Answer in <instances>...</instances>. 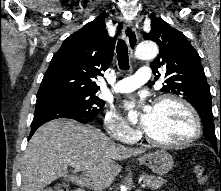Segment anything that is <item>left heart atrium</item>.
I'll list each match as a JSON object with an SVG mask.
<instances>
[{
    "label": "left heart atrium",
    "mask_w": 221,
    "mask_h": 191,
    "mask_svg": "<svg viewBox=\"0 0 221 191\" xmlns=\"http://www.w3.org/2000/svg\"><path fill=\"white\" fill-rule=\"evenodd\" d=\"M135 108L140 109L141 112L140 126L143 130H146L153 113V107L145 104L142 101H136V100L125 101L121 106V109L124 112H128Z\"/></svg>",
    "instance_id": "39dd6f15"
}]
</instances>
